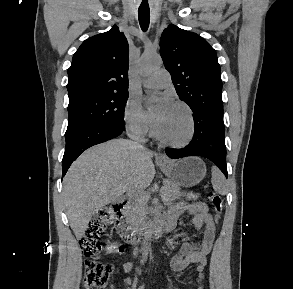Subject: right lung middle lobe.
<instances>
[{
	"label": "right lung middle lobe",
	"instance_id": "right-lung-middle-lobe-1",
	"mask_svg": "<svg viewBox=\"0 0 293 289\" xmlns=\"http://www.w3.org/2000/svg\"><path fill=\"white\" fill-rule=\"evenodd\" d=\"M128 92L90 95L69 101L65 138L90 126L124 120Z\"/></svg>",
	"mask_w": 293,
	"mask_h": 289
}]
</instances>
